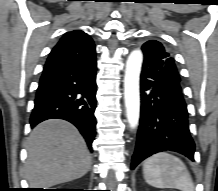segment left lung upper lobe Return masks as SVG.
Returning <instances> with one entry per match:
<instances>
[{
  "instance_id": "obj_1",
  "label": "left lung upper lobe",
  "mask_w": 218,
  "mask_h": 191,
  "mask_svg": "<svg viewBox=\"0 0 218 191\" xmlns=\"http://www.w3.org/2000/svg\"><path fill=\"white\" fill-rule=\"evenodd\" d=\"M142 51L145 59L158 71H162L164 73L170 72L172 75H174V78L177 80V82L181 81L174 58L165 50L160 42L156 40H150L142 46ZM170 83L172 84L174 82Z\"/></svg>"
}]
</instances>
